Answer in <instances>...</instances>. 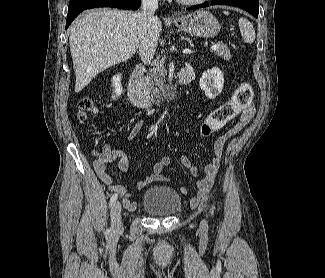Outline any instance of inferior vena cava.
<instances>
[{"label":"inferior vena cava","mask_w":325,"mask_h":278,"mask_svg":"<svg viewBox=\"0 0 325 278\" xmlns=\"http://www.w3.org/2000/svg\"><path fill=\"white\" fill-rule=\"evenodd\" d=\"M158 9V0H142L141 11V38L139 55L144 64H150L156 51L159 31L155 11Z\"/></svg>","instance_id":"1"}]
</instances>
